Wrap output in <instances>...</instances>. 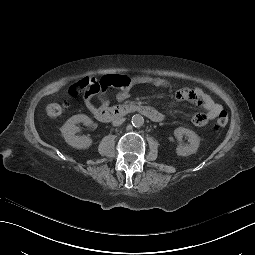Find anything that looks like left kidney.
<instances>
[{"mask_svg": "<svg viewBox=\"0 0 255 255\" xmlns=\"http://www.w3.org/2000/svg\"><path fill=\"white\" fill-rule=\"evenodd\" d=\"M175 137L180 140L183 135H186L188 137V141L190 145L183 146L179 145L176 148V154L178 156L186 157L190 156L198 151L199 145H200V137L192 130L179 127L175 129L174 131Z\"/></svg>", "mask_w": 255, "mask_h": 255, "instance_id": "obj_1", "label": "left kidney"}]
</instances>
